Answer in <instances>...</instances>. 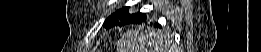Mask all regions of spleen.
<instances>
[{"instance_id": "3e777b00", "label": "spleen", "mask_w": 261, "mask_h": 52, "mask_svg": "<svg viewBox=\"0 0 261 52\" xmlns=\"http://www.w3.org/2000/svg\"><path fill=\"white\" fill-rule=\"evenodd\" d=\"M134 35V46L137 49H143L142 52H166V47L168 46L167 42L164 43L163 37L161 34L150 32L149 36L142 34L141 37H138V32L129 31L127 35ZM137 39V40H136ZM145 44L149 45L145 48ZM150 47V50H149Z\"/></svg>"}]
</instances>
